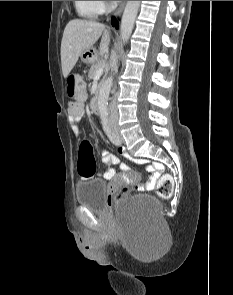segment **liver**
Masks as SVG:
<instances>
[{
  "mask_svg": "<svg viewBox=\"0 0 233 295\" xmlns=\"http://www.w3.org/2000/svg\"><path fill=\"white\" fill-rule=\"evenodd\" d=\"M102 34L100 56L105 54L110 41L106 26L99 22L81 19L68 22L61 42V65L64 78L69 75L79 56L90 49Z\"/></svg>",
  "mask_w": 233,
  "mask_h": 295,
  "instance_id": "liver-1",
  "label": "liver"
}]
</instances>
